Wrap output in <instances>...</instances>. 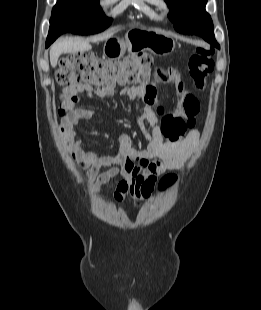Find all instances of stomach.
I'll return each instance as SVG.
<instances>
[{
	"mask_svg": "<svg viewBox=\"0 0 261 310\" xmlns=\"http://www.w3.org/2000/svg\"><path fill=\"white\" fill-rule=\"evenodd\" d=\"M175 41L162 33L148 29H134L126 34L125 40L108 39L104 44V54L111 59L124 56L126 50H146L154 55L165 56L173 52Z\"/></svg>",
	"mask_w": 261,
	"mask_h": 310,
	"instance_id": "stomach-1",
	"label": "stomach"
}]
</instances>
